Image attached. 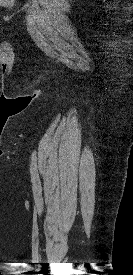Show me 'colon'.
Segmentation results:
<instances>
[{
  "label": "colon",
  "mask_w": 133,
  "mask_h": 275,
  "mask_svg": "<svg viewBox=\"0 0 133 275\" xmlns=\"http://www.w3.org/2000/svg\"><path fill=\"white\" fill-rule=\"evenodd\" d=\"M12 3H13V0H6V1L4 2V4L7 5V6H11Z\"/></svg>",
  "instance_id": "5ec220e1"
}]
</instances>
